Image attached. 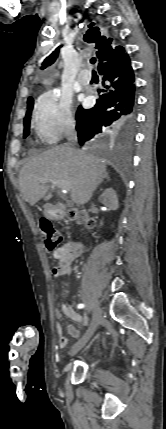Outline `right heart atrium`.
I'll list each match as a JSON object with an SVG mask.
<instances>
[{"mask_svg": "<svg viewBox=\"0 0 166 429\" xmlns=\"http://www.w3.org/2000/svg\"><path fill=\"white\" fill-rule=\"evenodd\" d=\"M75 125L71 100L58 89L45 92L33 112V126L45 142L54 143L69 133Z\"/></svg>", "mask_w": 166, "mask_h": 429, "instance_id": "right-heart-atrium-1", "label": "right heart atrium"}]
</instances>
